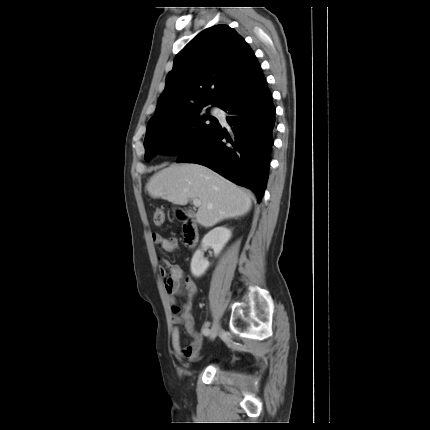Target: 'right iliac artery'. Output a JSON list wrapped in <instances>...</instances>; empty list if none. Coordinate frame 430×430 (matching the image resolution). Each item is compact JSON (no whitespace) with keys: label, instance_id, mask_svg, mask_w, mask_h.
<instances>
[{"label":"right iliac artery","instance_id":"82829eb1","mask_svg":"<svg viewBox=\"0 0 430 430\" xmlns=\"http://www.w3.org/2000/svg\"><path fill=\"white\" fill-rule=\"evenodd\" d=\"M209 332H210L209 329H206V330L203 331L204 335H206V336L209 334Z\"/></svg>","mask_w":430,"mask_h":430}]
</instances>
